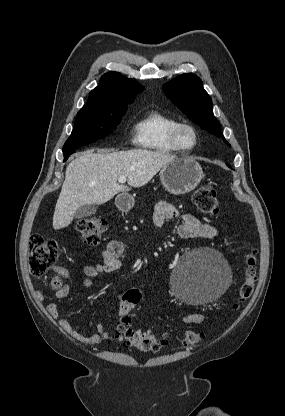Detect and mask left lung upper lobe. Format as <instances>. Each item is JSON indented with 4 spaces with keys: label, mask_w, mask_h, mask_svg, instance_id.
<instances>
[{
    "label": "left lung upper lobe",
    "mask_w": 285,
    "mask_h": 416,
    "mask_svg": "<svg viewBox=\"0 0 285 416\" xmlns=\"http://www.w3.org/2000/svg\"><path fill=\"white\" fill-rule=\"evenodd\" d=\"M163 91L192 121L217 137L223 136L220 124L213 115L212 100L199 77L191 73L182 74L164 84ZM223 141L231 146L224 138Z\"/></svg>",
    "instance_id": "1"
}]
</instances>
